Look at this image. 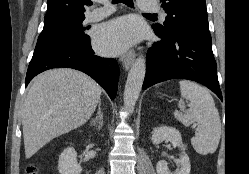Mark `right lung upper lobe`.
Returning <instances> with one entry per match:
<instances>
[{"mask_svg":"<svg viewBox=\"0 0 249 174\" xmlns=\"http://www.w3.org/2000/svg\"><path fill=\"white\" fill-rule=\"evenodd\" d=\"M90 0H47V13L44 18V26L54 23L85 18L86 7Z\"/></svg>","mask_w":249,"mask_h":174,"instance_id":"obj_1","label":"right lung upper lobe"}]
</instances>
